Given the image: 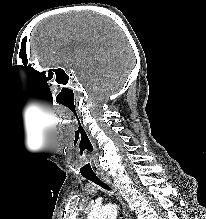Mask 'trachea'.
<instances>
[{"instance_id": "obj_1", "label": "trachea", "mask_w": 206, "mask_h": 219, "mask_svg": "<svg viewBox=\"0 0 206 219\" xmlns=\"http://www.w3.org/2000/svg\"><path fill=\"white\" fill-rule=\"evenodd\" d=\"M84 177L106 190H111L110 187L103 183L95 174L84 175Z\"/></svg>"}]
</instances>
